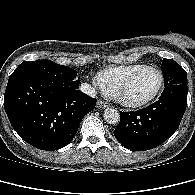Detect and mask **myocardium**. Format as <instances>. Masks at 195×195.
<instances>
[{"instance_id": "f54148a6", "label": "myocardium", "mask_w": 195, "mask_h": 195, "mask_svg": "<svg viewBox=\"0 0 195 195\" xmlns=\"http://www.w3.org/2000/svg\"><path fill=\"white\" fill-rule=\"evenodd\" d=\"M144 70H153L155 71L158 75H159V86L157 88V90L149 97L142 99V100H129L126 98V92L129 89L132 81L135 79V77L141 73ZM164 75L163 72L157 68L156 66H152V65H143L142 67H140L139 69H137L136 71H134L122 84V86L119 89V92L117 94V96H115L114 98L123 106L125 107H129V108H140L143 106H146L148 104H150L151 102H153L162 92L163 87H164Z\"/></svg>"}]
</instances>
